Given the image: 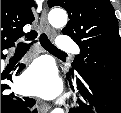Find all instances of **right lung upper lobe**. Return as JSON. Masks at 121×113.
<instances>
[{"mask_svg":"<svg viewBox=\"0 0 121 113\" xmlns=\"http://www.w3.org/2000/svg\"><path fill=\"white\" fill-rule=\"evenodd\" d=\"M31 6H36L33 0H1V50L14 46L24 35L36 34L35 31L23 32V27L34 21Z\"/></svg>","mask_w":121,"mask_h":113,"instance_id":"cb5924a9","label":"right lung upper lobe"}]
</instances>
